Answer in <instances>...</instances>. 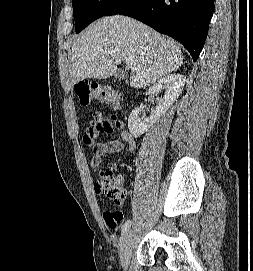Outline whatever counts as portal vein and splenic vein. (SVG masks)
Here are the masks:
<instances>
[{"instance_id":"18ae733b","label":"portal vein and splenic vein","mask_w":253,"mask_h":271,"mask_svg":"<svg viewBox=\"0 0 253 271\" xmlns=\"http://www.w3.org/2000/svg\"><path fill=\"white\" fill-rule=\"evenodd\" d=\"M126 65H127L128 68H133L134 67L133 61H130L128 59L126 60Z\"/></svg>"}]
</instances>
